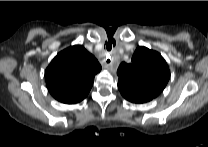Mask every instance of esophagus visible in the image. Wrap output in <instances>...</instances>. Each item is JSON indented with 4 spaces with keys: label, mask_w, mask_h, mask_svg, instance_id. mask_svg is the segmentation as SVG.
Masks as SVG:
<instances>
[{
    "label": "esophagus",
    "mask_w": 208,
    "mask_h": 147,
    "mask_svg": "<svg viewBox=\"0 0 208 147\" xmlns=\"http://www.w3.org/2000/svg\"><path fill=\"white\" fill-rule=\"evenodd\" d=\"M103 67H104L105 69L112 70V69H113V62H112V59L109 58V57H106V58L104 59Z\"/></svg>",
    "instance_id": "obj_1"
}]
</instances>
